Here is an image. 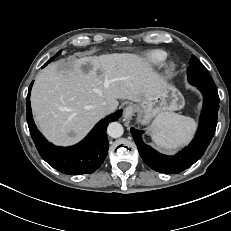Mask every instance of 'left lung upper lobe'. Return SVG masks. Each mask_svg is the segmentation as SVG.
<instances>
[{
  "mask_svg": "<svg viewBox=\"0 0 231 231\" xmlns=\"http://www.w3.org/2000/svg\"><path fill=\"white\" fill-rule=\"evenodd\" d=\"M188 81L194 86H204L216 89L215 83L205 67L200 63L194 55L191 57V63L187 70Z\"/></svg>",
  "mask_w": 231,
  "mask_h": 231,
  "instance_id": "left-lung-upper-lobe-1",
  "label": "left lung upper lobe"
}]
</instances>
